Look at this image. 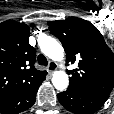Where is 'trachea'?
Segmentation results:
<instances>
[{"instance_id":"3493384b","label":"trachea","mask_w":114,"mask_h":114,"mask_svg":"<svg viewBox=\"0 0 114 114\" xmlns=\"http://www.w3.org/2000/svg\"><path fill=\"white\" fill-rule=\"evenodd\" d=\"M37 59H38L39 65L46 66L48 64L47 58L42 54L38 55Z\"/></svg>"}]
</instances>
